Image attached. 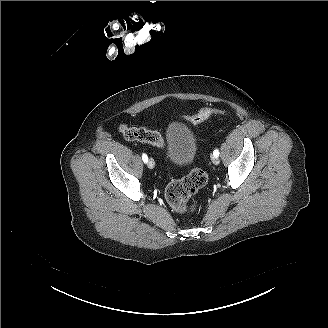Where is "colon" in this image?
<instances>
[{
	"mask_svg": "<svg viewBox=\"0 0 328 328\" xmlns=\"http://www.w3.org/2000/svg\"><path fill=\"white\" fill-rule=\"evenodd\" d=\"M222 113L224 112L220 109L206 106L197 113L185 115L184 117L193 124H199L214 114ZM119 129L123 136L130 141L147 143L160 148L164 147V140L156 131L127 124H122ZM207 180V174L202 169L195 168L183 178L170 182L166 187L165 196L171 209L179 214L193 213L196 204L190 202V198L206 185Z\"/></svg>",
	"mask_w": 328,
	"mask_h": 328,
	"instance_id": "obj_1",
	"label": "colon"
}]
</instances>
